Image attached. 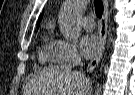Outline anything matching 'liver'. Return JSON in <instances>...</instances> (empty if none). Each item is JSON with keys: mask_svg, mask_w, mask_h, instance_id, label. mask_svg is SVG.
Instances as JSON below:
<instances>
[{"mask_svg": "<svg viewBox=\"0 0 135 95\" xmlns=\"http://www.w3.org/2000/svg\"><path fill=\"white\" fill-rule=\"evenodd\" d=\"M90 83L82 73L68 66H50L34 75L25 87V95H86Z\"/></svg>", "mask_w": 135, "mask_h": 95, "instance_id": "6515ba94", "label": "liver"}]
</instances>
